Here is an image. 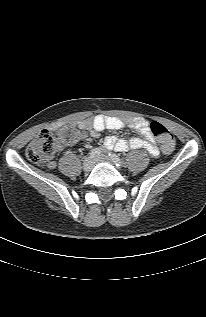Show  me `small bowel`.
Returning a JSON list of instances; mask_svg holds the SVG:
<instances>
[{"instance_id":"1","label":"small bowel","mask_w":206,"mask_h":317,"mask_svg":"<svg viewBox=\"0 0 206 317\" xmlns=\"http://www.w3.org/2000/svg\"><path fill=\"white\" fill-rule=\"evenodd\" d=\"M137 130L144 136L143 138L133 137L130 139H119L115 136H108L104 140V145L108 149H114L119 152H125L129 149H144L152 156L159 154V149L155 145L153 135L150 131L149 122L144 118H137L128 123L113 116L96 115L93 118L73 122L71 127L80 130L89 131L92 137H99L100 132L103 130H119L124 127ZM67 143L60 142L56 145V149H63ZM54 163H50L53 167Z\"/></svg>"}]
</instances>
